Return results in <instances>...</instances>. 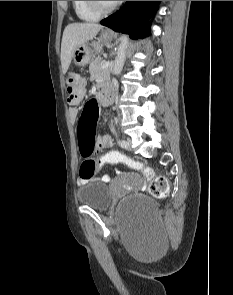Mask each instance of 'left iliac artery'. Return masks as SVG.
Instances as JSON below:
<instances>
[{"mask_svg": "<svg viewBox=\"0 0 233 295\" xmlns=\"http://www.w3.org/2000/svg\"><path fill=\"white\" fill-rule=\"evenodd\" d=\"M110 128H111L112 133L115 136H117V132H116L115 128L112 125L110 126ZM119 143H120V145H126L127 144V141L126 140H119Z\"/></svg>", "mask_w": 233, "mask_h": 295, "instance_id": "44dca946", "label": "left iliac artery"}]
</instances>
